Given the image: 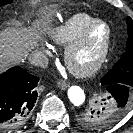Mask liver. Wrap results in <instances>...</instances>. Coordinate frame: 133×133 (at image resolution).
Wrapping results in <instances>:
<instances>
[{
  "instance_id": "1",
  "label": "liver",
  "mask_w": 133,
  "mask_h": 133,
  "mask_svg": "<svg viewBox=\"0 0 133 133\" xmlns=\"http://www.w3.org/2000/svg\"><path fill=\"white\" fill-rule=\"evenodd\" d=\"M39 39L35 28L12 26L0 31V72L23 62Z\"/></svg>"
}]
</instances>
